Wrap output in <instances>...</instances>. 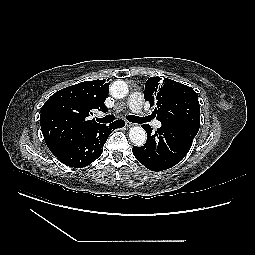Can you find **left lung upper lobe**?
Returning <instances> with one entry per match:
<instances>
[{
    "label": "left lung upper lobe",
    "instance_id": "obj_1",
    "mask_svg": "<svg viewBox=\"0 0 255 255\" xmlns=\"http://www.w3.org/2000/svg\"><path fill=\"white\" fill-rule=\"evenodd\" d=\"M144 98L150 106L156 105L153 114L161 123L200 126L198 94L191 87L168 78L150 77Z\"/></svg>",
    "mask_w": 255,
    "mask_h": 255
}]
</instances>
